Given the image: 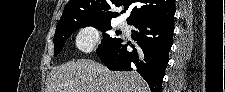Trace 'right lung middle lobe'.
<instances>
[{
  "label": "right lung middle lobe",
  "mask_w": 225,
  "mask_h": 92,
  "mask_svg": "<svg viewBox=\"0 0 225 92\" xmlns=\"http://www.w3.org/2000/svg\"><path fill=\"white\" fill-rule=\"evenodd\" d=\"M86 26H93L101 31H107L111 29L110 22H91L85 20L76 21L68 26L56 28V32L53 39L55 46V56H57L62 51L66 39L69 38L73 32H75L77 29H80L81 27ZM118 40H120V38H110L109 35L104 34V40L102 41V44L99 45L96 51L104 50L105 48H107Z\"/></svg>",
  "instance_id": "obj_1"
}]
</instances>
